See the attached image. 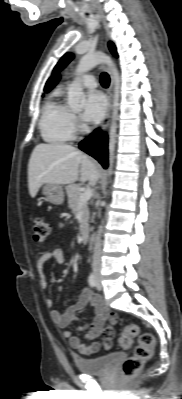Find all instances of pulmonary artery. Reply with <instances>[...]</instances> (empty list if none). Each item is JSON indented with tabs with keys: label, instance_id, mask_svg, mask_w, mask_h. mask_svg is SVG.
<instances>
[{
	"label": "pulmonary artery",
	"instance_id": "pulmonary-artery-1",
	"mask_svg": "<svg viewBox=\"0 0 182 399\" xmlns=\"http://www.w3.org/2000/svg\"><path fill=\"white\" fill-rule=\"evenodd\" d=\"M80 82L85 88L94 89L97 87V80L92 74L82 76Z\"/></svg>",
	"mask_w": 182,
	"mask_h": 399
}]
</instances>
